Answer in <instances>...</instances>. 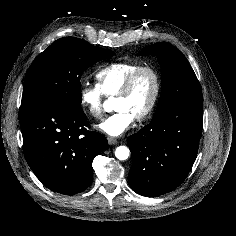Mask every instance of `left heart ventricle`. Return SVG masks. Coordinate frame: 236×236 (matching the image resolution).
I'll use <instances>...</instances> for the list:
<instances>
[{"mask_svg":"<svg viewBox=\"0 0 236 236\" xmlns=\"http://www.w3.org/2000/svg\"><path fill=\"white\" fill-rule=\"evenodd\" d=\"M154 93V79L149 72L142 73L135 82L131 92L123 98H115L116 110H126L134 118L149 105Z\"/></svg>","mask_w":236,"mask_h":236,"instance_id":"obj_1","label":"left heart ventricle"}]
</instances>
